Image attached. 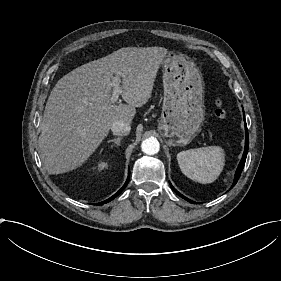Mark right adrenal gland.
Instances as JSON below:
<instances>
[{
	"label": "right adrenal gland",
	"mask_w": 281,
	"mask_h": 281,
	"mask_svg": "<svg viewBox=\"0 0 281 281\" xmlns=\"http://www.w3.org/2000/svg\"><path fill=\"white\" fill-rule=\"evenodd\" d=\"M123 140V137H118V138H114V139H110L108 140V142H115L117 145L121 144V141Z\"/></svg>",
	"instance_id": "obj_1"
}]
</instances>
